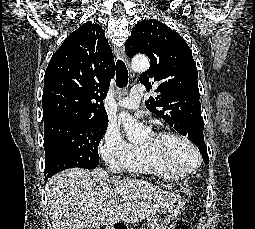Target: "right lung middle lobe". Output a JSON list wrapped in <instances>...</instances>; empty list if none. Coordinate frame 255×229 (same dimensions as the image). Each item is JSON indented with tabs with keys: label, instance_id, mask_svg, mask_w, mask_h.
<instances>
[{
	"label": "right lung middle lobe",
	"instance_id": "right-lung-middle-lobe-1",
	"mask_svg": "<svg viewBox=\"0 0 255 229\" xmlns=\"http://www.w3.org/2000/svg\"><path fill=\"white\" fill-rule=\"evenodd\" d=\"M108 120H54L44 124L45 170L52 176L64 169H94L99 164L98 145Z\"/></svg>",
	"mask_w": 255,
	"mask_h": 229
}]
</instances>
